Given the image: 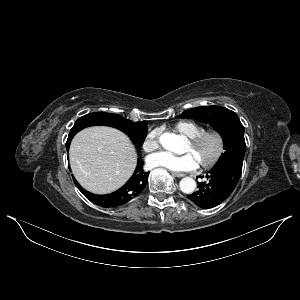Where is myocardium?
Wrapping results in <instances>:
<instances>
[{"mask_svg":"<svg viewBox=\"0 0 300 300\" xmlns=\"http://www.w3.org/2000/svg\"><path fill=\"white\" fill-rule=\"evenodd\" d=\"M211 136L215 137L217 141V149L215 154L209 160L199 164V166L203 169H210L220 162V160L222 159L226 151L225 138L223 134L217 129H205L200 133L196 134L195 136L188 138V142L192 146H197L207 137H211Z\"/></svg>","mask_w":300,"mask_h":300,"instance_id":"obj_1","label":"myocardium"}]
</instances>
